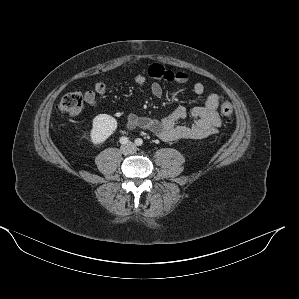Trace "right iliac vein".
I'll use <instances>...</instances> for the list:
<instances>
[{
  "mask_svg": "<svg viewBox=\"0 0 299 299\" xmlns=\"http://www.w3.org/2000/svg\"><path fill=\"white\" fill-rule=\"evenodd\" d=\"M121 150L124 152L126 150V147H123Z\"/></svg>",
  "mask_w": 299,
  "mask_h": 299,
  "instance_id": "obj_1",
  "label": "right iliac vein"
}]
</instances>
